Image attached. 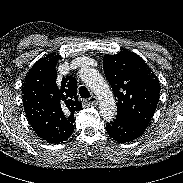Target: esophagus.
<instances>
[{
    "instance_id": "esophagus-1",
    "label": "esophagus",
    "mask_w": 183,
    "mask_h": 183,
    "mask_svg": "<svg viewBox=\"0 0 183 183\" xmlns=\"http://www.w3.org/2000/svg\"><path fill=\"white\" fill-rule=\"evenodd\" d=\"M98 103V99L96 96H92L89 99L84 100L83 104L86 106H94Z\"/></svg>"
}]
</instances>
